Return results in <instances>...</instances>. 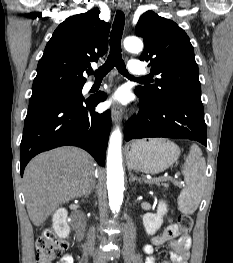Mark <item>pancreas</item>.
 I'll list each match as a JSON object with an SVG mask.
<instances>
[{"mask_svg":"<svg viewBox=\"0 0 233 263\" xmlns=\"http://www.w3.org/2000/svg\"><path fill=\"white\" fill-rule=\"evenodd\" d=\"M147 182L150 183V184L155 183V184H157L158 186H160L159 181L150 180V181H147ZM161 185H162L163 187H165V188H168V184H167V183H162Z\"/></svg>","mask_w":233,"mask_h":263,"instance_id":"pancreas-1","label":"pancreas"}]
</instances>
